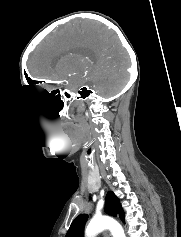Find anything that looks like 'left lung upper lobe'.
<instances>
[{
    "instance_id": "5c2ea615",
    "label": "left lung upper lobe",
    "mask_w": 181,
    "mask_h": 237,
    "mask_svg": "<svg viewBox=\"0 0 181 237\" xmlns=\"http://www.w3.org/2000/svg\"><path fill=\"white\" fill-rule=\"evenodd\" d=\"M105 212L112 216L119 215L124 222V211L121 207L119 199L111 191L107 193L105 202ZM87 214L77 216L72 222L65 237H83L84 227L88 220Z\"/></svg>"
}]
</instances>
